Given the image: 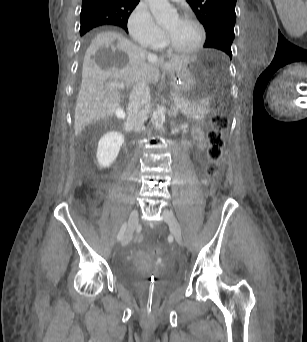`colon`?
Wrapping results in <instances>:
<instances>
[{
  "label": "colon",
  "mask_w": 307,
  "mask_h": 342,
  "mask_svg": "<svg viewBox=\"0 0 307 342\" xmlns=\"http://www.w3.org/2000/svg\"><path fill=\"white\" fill-rule=\"evenodd\" d=\"M229 126L228 118L221 111H215L212 115V128L208 133L209 146L207 149L208 165L207 174L213 178L221 175L220 159L224 146V134ZM149 255L155 257L157 253H163V246H150Z\"/></svg>",
  "instance_id": "5ec220e1"
}]
</instances>
